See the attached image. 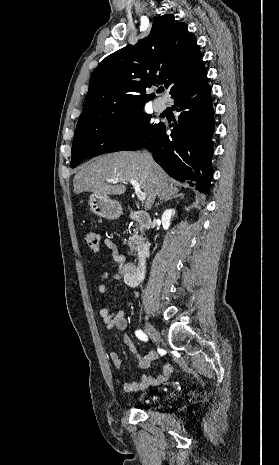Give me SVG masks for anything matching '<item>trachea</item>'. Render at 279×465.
I'll list each match as a JSON object with an SVG mask.
<instances>
[{"mask_svg": "<svg viewBox=\"0 0 279 465\" xmlns=\"http://www.w3.org/2000/svg\"><path fill=\"white\" fill-rule=\"evenodd\" d=\"M163 91H164V88H163V87H160V88L158 89V92H163Z\"/></svg>", "mask_w": 279, "mask_h": 465, "instance_id": "trachea-1", "label": "trachea"}]
</instances>
